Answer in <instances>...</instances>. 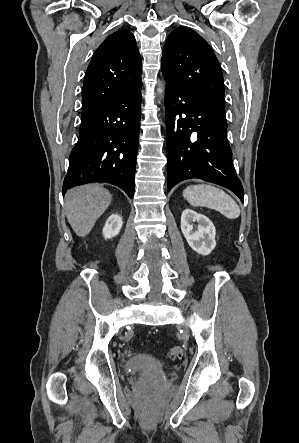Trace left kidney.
<instances>
[{
  "label": "left kidney",
  "instance_id": "obj_1",
  "mask_svg": "<svg viewBox=\"0 0 299 443\" xmlns=\"http://www.w3.org/2000/svg\"><path fill=\"white\" fill-rule=\"evenodd\" d=\"M181 230L189 246L198 254L209 255L216 246L215 227L203 214L185 209L181 215Z\"/></svg>",
  "mask_w": 299,
  "mask_h": 443
}]
</instances>
